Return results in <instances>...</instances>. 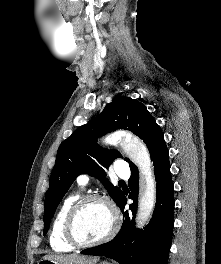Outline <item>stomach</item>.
I'll list each match as a JSON object with an SVG mask.
<instances>
[{
  "mask_svg": "<svg viewBox=\"0 0 221 264\" xmlns=\"http://www.w3.org/2000/svg\"><path fill=\"white\" fill-rule=\"evenodd\" d=\"M38 264H61L58 261L55 260H48V259H42L38 262ZM100 264H110L109 262H101Z\"/></svg>",
  "mask_w": 221,
  "mask_h": 264,
  "instance_id": "obj_1",
  "label": "stomach"
}]
</instances>
